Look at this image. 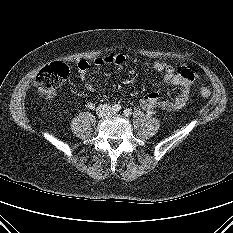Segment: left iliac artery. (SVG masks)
Returning <instances> with one entry per match:
<instances>
[{
    "instance_id": "1",
    "label": "left iliac artery",
    "mask_w": 233,
    "mask_h": 233,
    "mask_svg": "<svg viewBox=\"0 0 233 233\" xmlns=\"http://www.w3.org/2000/svg\"><path fill=\"white\" fill-rule=\"evenodd\" d=\"M123 112H124V115H125V116H127V117H128V116H131V114H132L131 109H127V108H126V109H124V111H123Z\"/></svg>"
}]
</instances>
